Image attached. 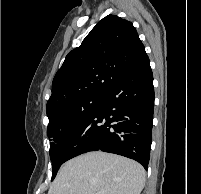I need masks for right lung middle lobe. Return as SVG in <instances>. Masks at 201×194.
Segmentation results:
<instances>
[{
    "label": "right lung middle lobe",
    "mask_w": 201,
    "mask_h": 194,
    "mask_svg": "<svg viewBox=\"0 0 201 194\" xmlns=\"http://www.w3.org/2000/svg\"><path fill=\"white\" fill-rule=\"evenodd\" d=\"M102 99L103 95L85 97L59 108L52 114H48L47 135L51 141L52 180L61 166L56 158V152L60 148L63 139L97 109Z\"/></svg>",
    "instance_id": "dd1d6c3e"
}]
</instances>
